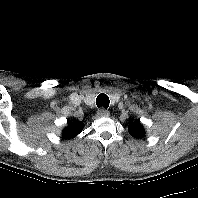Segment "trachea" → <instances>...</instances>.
Instances as JSON below:
<instances>
[{
  "label": "trachea",
  "mask_w": 198,
  "mask_h": 198,
  "mask_svg": "<svg viewBox=\"0 0 198 198\" xmlns=\"http://www.w3.org/2000/svg\"><path fill=\"white\" fill-rule=\"evenodd\" d=\"M109 97L106 94H99L98 97L96 98V104L97 107H102L104 109H107L109 107Z\"/></svg>",
  "instance_id": "trachea-1"
}]
</instances>
